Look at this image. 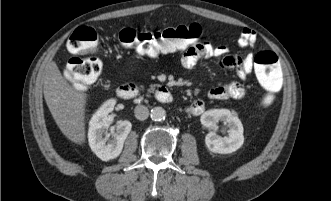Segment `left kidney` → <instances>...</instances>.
Masks as SVG:
<instances>
[{"mask_svg": "<svg viewBox=\"0 0 331 201\" xmlns=\"http://www.w3.org/2000/svg\"><path fill=\"white\" fill-rule=\"evenodd\" d=\"M202 125L210 131L205 137L209 151L219 154H229L239 149L244 142L243 125L239 118L228 109H211L204 112L200 119ZM221 121L228 127V135L221 137L215 133L217 123Z\"/></svg>", "mask_w": 331, "mask_h": 201, "instance_id": "1", "label": "left kidney"}]
</instances>
